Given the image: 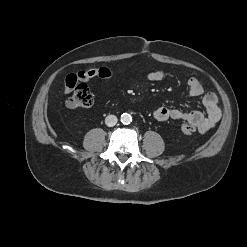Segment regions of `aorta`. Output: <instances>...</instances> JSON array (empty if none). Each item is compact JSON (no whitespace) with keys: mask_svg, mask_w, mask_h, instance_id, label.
Returning a JSON list of instances; mask_svg holds the SVG:
<instances>
[{"mask_svg":"<svg viewBox=\"0 0 247 247\" xmlns=\"http://www.w3.org/2000/svg\"><path fill=\"white\" fill-rule=\"evenodd\" d=\"M121 122L123 124H130L132 122V116L128 113H123L121 115Z\"/></svg>","mask_w":247,"mask_h":247,"instance_id":"1","label":"aorta"}]
</instances>
